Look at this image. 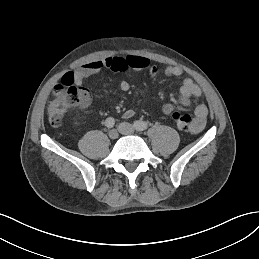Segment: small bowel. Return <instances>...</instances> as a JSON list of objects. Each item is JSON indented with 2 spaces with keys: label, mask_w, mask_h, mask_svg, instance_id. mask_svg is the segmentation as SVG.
Here are the masks:
<instances>
[{
  "label": "small bowel",
  "mask_w": 259,
  "mask_h": 259,
  "mask_svg": "<svg viewBox=\"0 0 259 259\" xmlns=\"http://www.w3.org/2000/svg\"><path fill=\"white\" fill-rule=\"evenodd\" d=\"M128 69H147L152 76H156L158 74L157 67L152 65L147 57L139 55H129L126 57H107L89 62L71 73L74 77L75 84L80 85L84 83L89 77L95 74H99L103 71L123 72ZM164 74L169 77H178L182 74V69L177 66L169 65L164 69ZM120 89L123 92H127L130 89V84L127 81H122L120 83ZM179 92V103L183 107H188L191 103V100L193 98L200 97L202 93L199 86L196 85L190 78L183 79ZM173 110L174 106L171 103H166L163 106V112L167 115L171 114ZM133 115V110H127L124 113L125 118H131ZM207 116V106L205 104L197 105L194 110V117L189 127V130L192 134H198L204 129Z\"/></svg>",
  "instance_id": "c3829d8e"
}]
</instances>
